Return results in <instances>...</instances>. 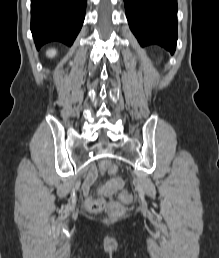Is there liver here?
<instances>
[{
  "instance_id": "obj_1",
  "label": "liver",
  "mask_w": 219,
  "mask_h": 258,
  "mask_svg": "<svg viewBox=\"0 0 219 258\" xmlns=\"http://www.w3.org/2000/svg\"><path fill=\"white\" fill-rule=\"evenodd\" d=\"M47 56L48 57H54L56 55V50L55 49H50L47 51Z\"/></svg>"
}]
</instances>
